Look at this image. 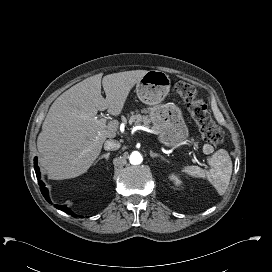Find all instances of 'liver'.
Wrapping results in <instances>:
<instances>
[{
	"label": "liver",
	"mask_w": 272,
	"mask_h": 272,
	"mask_svg": "<svg viewBox=\"0 0 272 272\" xmlns=\"http://www.w3.org/2000/svg\"><path fill=\"white\" fill-rule=\"evenodd\" d=\"M132 70L97 74L72 86L51 105L37 139L40 165L53 180L87 172L107 138H115L119 122L100 125L98 111L118 116L133 86L147 73ZM102 86L106 98L101 95Z\"/></svg>",
	"instance_id": "liver-1"
}]
</instances>
